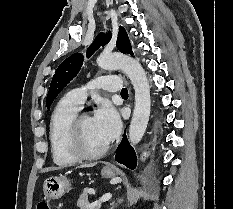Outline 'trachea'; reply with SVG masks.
Returning <instances> with one entry per match:
<instances>
[{
  "label": "trachea",
  "mask_w": 233,
  "mask_h": 209,
  "mask_svg": "<svg viewBox=\"0 0 233 209\" xmlns=\"http://www.w3.org/2000/svg\"><path fill=\"white\" fill-rule=\"evenodd\" d=\"M121 95H128V90H127V88H123V89L121 90Z\"/></svg>",
  "instance_id": "3493384b"
}]
</instances>
